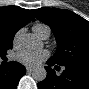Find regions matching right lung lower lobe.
Wrapping results in <instances>:
<instances>
[{"mask_svg":"<svg viewBox=\"0 0 89 89\" xmlns=\"http://www.w3.org/2000/svg\"><path fill=\"white\" fill-rule=\"evenodd\" d=\"M26 74L23 65L11 61L5 69H0V88L15 89L20 78Z\"/></svg>","mask_w":89,"mask_h":89,"instance_id":"obj_1","label":"right lung lower lobe"}]
</instances>
